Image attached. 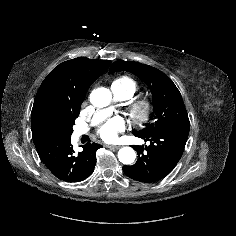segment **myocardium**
I'll list each match as a JSON object with an SVG mask.
<instances>
[{
  "label": "myocardium",
  "instance_id": "obj_1",
  "mask_svg": "<svg viewBox=\"0 0 236 236\" xmlns=\"http://www.w3.org/2000/svg\"><path fill=\"white\" fill-rule=\"evenodd\" d=\"M153 112V103L147 98H137L128 104V113L135 124L148 121Z\"/></svg>",
  "mask_w": 236,
  "mask_h": 236
}]
</instances>
